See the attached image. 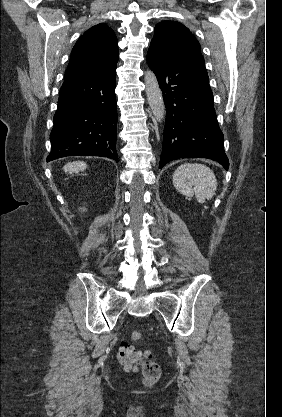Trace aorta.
I'll return each mask as SVG.
<instances>
[{"label": "aorta", "instance_id": "762f6f07", "mask_svg": "<svg viewBox=\"0 0 282 417\" xmlns=\"http://www.w3.org/2000/svg\"><path fill=\"white\" fill-rule=\"evenodd\" d=\"M144 80L147 100L154 114V118H156L158 122H162L165 114V104L158 80L152 70H147Z\"/></svg>", "mask_w": 282, "mask_h": 417}]
</instances>
